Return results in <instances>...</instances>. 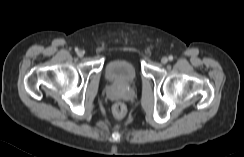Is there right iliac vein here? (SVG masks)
<instances>
[{
	"label": "right iliac vein",
	"mask_w": 244,
	"mask_h": 157,
	"mask_svg": "<svg viewBox=\"0 0 244 157\" xmlns=\"http://www.w3.org/2000/svg\"><path fill=\"white\" fill-rule=\"evenodd\" d=\"M78 56H79V57H83V56H84V51H79V52H78Z\"/></svg>",
	"instance_id": "63e3f726"
}]
</instances>
